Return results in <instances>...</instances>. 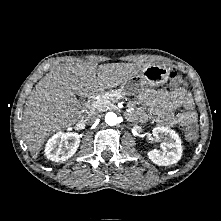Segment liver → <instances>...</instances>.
I'll return each instance as SVG.
<instances>
[{
	"label": "liver",
	"mask_w": 221,
	"mask_h": 221,
	"mask_svg": "<svg viewBox=\"0 0 221 221\" xmlns=\"http://www.w3.org/2000/svg\"><path fill=\"white\" fill-rule=\"evenodd\" d=\"M146 65L139 63L72 62L47 73L35 86L22 117L23 140L36 158L46 139L81 118L82 98L125 84Z\"/></svg>",
	"instance_id": "1"
}]
</instances>
